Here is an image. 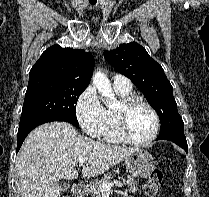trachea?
I'll return each mask as SVG.
<instances>
[{"instance_id":"1","label":"trachea","mask_w":209,"mask_h":197,"mask_svg":"<svg viewBox=\"0 0 209 197\" xmlns=\"http://www.w3.org/2000/svg\"><path fill=\"white\" fill-rule=\"evenodd\" d=\"M89 2H90L92 5H94V4H96L97 0H89Z\"/></svg>"}]
</instances>
